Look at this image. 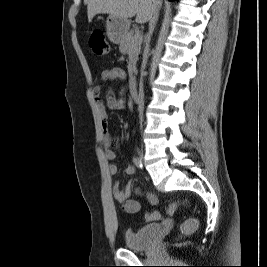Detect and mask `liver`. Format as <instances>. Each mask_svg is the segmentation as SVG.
I'll return each instance as SVG.
<instances>
[{
  "mask_svg": "<svg viewBox=\"0 0 267 267\" xmlns=\"http://www.w3.org/2000/svg\"><path fill=\"white\" fill-rule=\"evenodd\" d=\"M84 3L87 5L89 22L97 14H109L123 19L136 15L137 23H146L156 7L153 0H84Z\"/></svg>",
  "mask_w": 267,
  "mask_h": 267,
  "instance_id": "6515ba94",
  "label": "liver"
}]
</instances>
